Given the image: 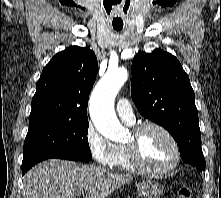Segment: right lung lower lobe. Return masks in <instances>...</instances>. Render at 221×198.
Here are the masks:
<instances>
[{
    "instance_id": "obj_1",
    "label": "right lung lower lobe",
    "mask_w": 221,
    "mask_h": 198,
    "mask_svg": "<svg viewBox=\"0 0 221 198\" xmlns=\"http://www.w3.org/2000/svg\"><path fill=\"white\" fill-rule=\"evenodd\" d=\"M49 158H59V159H67V160H72V161H81V160L78 159V158H75V157H72V156H67V155H55V156H50V157L41 159V160L37 161L36 163H34V164L30 165V166H27V167H25V168H22V175L25 174L26 171H28L32 166H34V165L37 164L38 162L43 161V160H46V159H49Z\"/></svg>"
}]
</instances>
